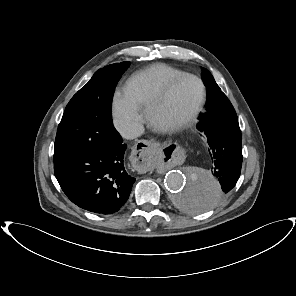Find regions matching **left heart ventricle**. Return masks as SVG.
<instances>
[{
  "mask_svg": "<svg viewBox=\"0 0 296 296\" xmlns=\"http://www.w3.org/2000/svg\"><path fill=\"white\" fill-rule=\"evenodd\" d=\"M199 94L200 88L195 80L180 81L160 109L159 118L163 121H174L184 117L196 104Z\"/></svg>",
  "mask_w": 296,
  "mask_h": 296,
  "instance_id": "1",
  "label": "left heart ventricle"
}]
</instances>
